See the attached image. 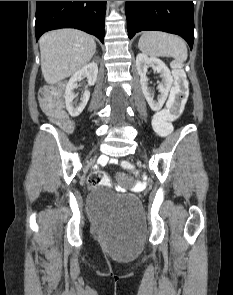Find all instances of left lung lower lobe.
Listing matches in <instances>:
<instances>
[{"mask_svg":"<svg viewBox=\"0 0 233 295\" xmlns=\"http://www.w3.org/2000/svg\"><path fill=\"white\" fill-rule=\"evenodd\" d=\"M128 36L145 30L180 35L192 49L194 42L193 1H126Z\"/></svg>","mask_w":233,"mask_h":295,"instance_id":"left-lung-lower-lobe-1","label":"left lung lower lobe"}]
</instances>
